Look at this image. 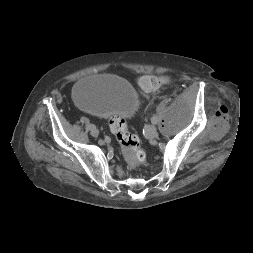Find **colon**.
I'll use <instances>...</instances> for the list:
<instances>
[{
  "label": "colon",
  "mask_w": 253,
  "mask_h": 253,
  "mask_svg": "<svg viewBox=\"0 0 253 253\" xmlns=\"http://www.w3.org/2000/svg\"><path fill=\"white\" fill-rule=\"evenodd\" d=\"M169 82L165 76H142L138 79L139 86L145 91H152ZM110 130L118 143L122 146L125 157L130 165L137 167L146 162V154L140 147L138 135L129 131L126 120L114 117L110 120Z\"/></svg>",
  "instance_id": "1"
}]
</instances>
